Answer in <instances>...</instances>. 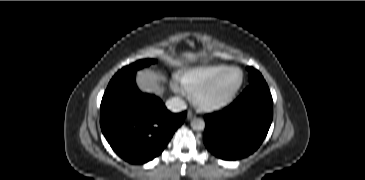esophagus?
<instances>
[{"label":"esophagus","instance_id":"obj_1","mask_svg":"<svg viewBox=\"0 0 365 180\" xmlns=\"http://www.w3.org/2000/svg\"><path fill=\"white\" fill-rule=\"evenodd\" d=\"M194 116H195V115H194V113H193L192 111H188V112H187V119H188V120L192 119Z\"/></svg>","mask_w":365,"mask_h":180}]
</instances>
